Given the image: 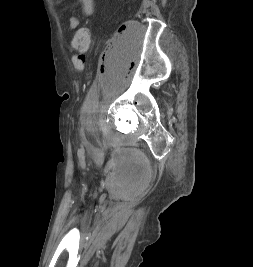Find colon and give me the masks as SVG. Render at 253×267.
Returning <instances> with one entry per match:
<instances>
[{
	"label": "colon",
	"mask_w": 253,
	"mask_h": 267,
	"mask_svg": "<svg viewBox=\"0 0 253 267\" xmlns=\"http://www.w3.org/2000/svg\"><path fill=\"white\" fill-rule=\"evenodd\" d=\"M72 45L77 54L72 61L76 69L81 70L85 64V55L90 46V35L86 28L78 29L73 37Z\"/></svg>",
	"instance_id": "colon-1"
}]
</instances>
